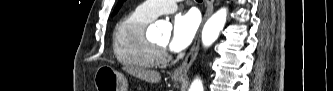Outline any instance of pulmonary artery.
Listing matches in <instances>:
<instances>
[{"label":"pulmonary artery","mask_w":333,"mask_h":91,"mask_svg":"<svg viewBox=\"0 0 333 91\" xmlns=\"http://www.w3.org/2000/svg\"><path fill=\"white\" fill-rule=\"evenodd\" d=\"M176 9V1H146L137 7L142 15L151 19L161 14L173 13Z\"/></svg>","instance_id":"pulmonary-artery-1"}]
</instances>
